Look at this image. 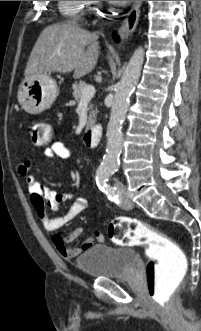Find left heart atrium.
I'll list each match as a JSON object with an SVG mask.
<instances>
[{
    "label": "left heart atrium",
    "instance_id": "left-heart-atrium-1",
    "mask_svg": "<svg viewBox=\"0 0 201 331\" xmlns=\"http://www.w3.org/2000/svg\"><path fill=\"white\" fill-rule=\"evenodd\" d=\"M110 2L113 4H116V5H125V4L129 3L130 1H110Z\"/></svg>",
    "mask_w": 201,
    "mask_h": 331
}]
</instances>
